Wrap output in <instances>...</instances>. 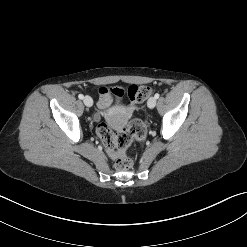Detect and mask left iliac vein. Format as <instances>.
Returning <instances> with one entry per match:
<instances>
[{
  "label": "left iliac vein",
  "instance_id": "4c4485c4",
  "mask_svg": "<svg viewBox=\"0 0 247 247\" xmlns=\"http://www.w3.org/2000/svg\"><path fill=\"white\" fill-rule=\"evenodd\" d=\"M147 105L149 108H154L156 106V98L155 97H150L147 101Z\"/></svg>",
  "mask_w": 247,
  "mask_h": 247
}]
</instances>
